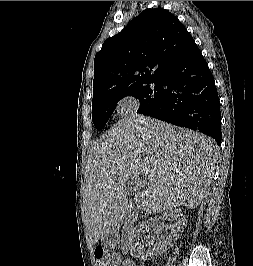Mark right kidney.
Listing matches in <instances>:
<instances>
[{"label":"right kidney","instance_id":"right-kidney-1","mask_svg":"<svg viewBox=\"0 0 253 266\" xmlns=\"http://www.w3.org/2000/svg\"><path fill=\"white\" fill-rule=\"evenodd\" d=\"M179 216L182 215L168 216V219L173 217L174 223L167 236L163 235L166 226L161 222L150 219L138 224L128 237L131 254L143 260H149L166 252L187 225L186 218H179Z\"/></svg>","mask_w":253,"mask_h":266}]
</instances>
